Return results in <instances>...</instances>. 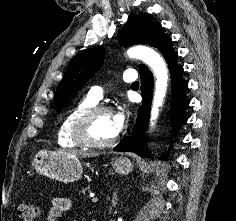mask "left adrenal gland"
<instances>
[{
    "label": "left adrenal gland",
    "mask_w": 236,
    "mask_h": 221,
    "mask_svg": "<svg viewBox=\"0 0 236 221\" xmlns=\"http://www.w3.org/2000/svg\"><path fill=\"white\" fill-rule=\"evenodd\" d=\"M117 193L118 191L116 190L114 193H113V197H112V206L115 207L117 205Z\"/></svg>",
    "instance_id": "1"
}]
</instances>
